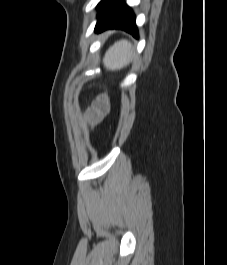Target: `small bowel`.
I'll list each match as a JSON object with an SVG mask.
<instances>
[{"label": "small bowel", "mask_w": 227, "mask_h": 265, "mask_svg": "<svg viewBox=\"0 0 227 265\" xmlns=\"http://www.w3.org/2000/svg\"><path fill=\"white\" fill-rule=\"evenodd\" d=\"M93 122L97 123L101 121L104 116L109 112V104L105 98H99L93 107Z\"/></svg>", "instance_id": "small-bowel-1"}]
</instances>
